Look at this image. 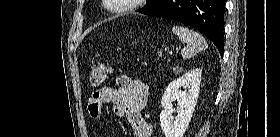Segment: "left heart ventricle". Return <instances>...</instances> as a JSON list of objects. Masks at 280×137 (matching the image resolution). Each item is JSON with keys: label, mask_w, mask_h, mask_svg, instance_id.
Here are the masks:
<instances>
[{"label": "left heart ventricle", "mask_w": 280, "mask_h": 137, "mask_svg": "<svg viewBox=\"0 0 280 137\" xmlns=\"http://www.w3.org/2000/svg\"><path fill=\"white\" fill-rule=\"evenodd\" d=\"M113 2H115L117 4H124L127 2V0H113Z\"/></svg>", "instance_id": "obj_1"}]
</instances>
